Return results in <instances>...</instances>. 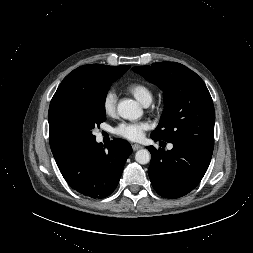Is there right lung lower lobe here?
<instances>
[{"instance_id": "obj_1", "label": "right lung lower lobe", "mask_w": 253, "mask_h": 253, "mask_svg": "<svg viewBox=\"0 0 253 253\" xmlns=\"http://www.w3.org/2000/svg\"><path fill=\"white\" fill-rule=\"evenodd\" d=\"M131 145L114 139L103 149L96 140L72 146L54 157L66 182L77 192L91 198H104L117 187Z\"/></svg>"}]
</instances>
